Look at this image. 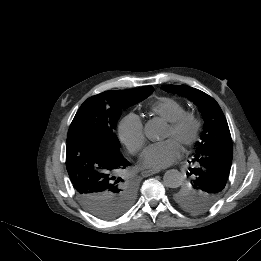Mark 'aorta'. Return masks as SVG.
<instances>
[{
  "label": "aorta",
  "instance_id": "1",
  "mask_svg": "<svg viewBox=\"0 0 261 261\" xmlns=\"http://www.w3.org/2000/svg\"><path fill=\"white\" fill-rule=\"evenodd\" d=\"M163 130V124L156 121H149L145 125V135L150 140H156L161 136ZM182 174L175 169H171L165 172L163 176V182L166 187L178 188L182 184Z\"/></svg>",
  "mask_w": 261,
  "mask_h": 261
}]
</instances>
